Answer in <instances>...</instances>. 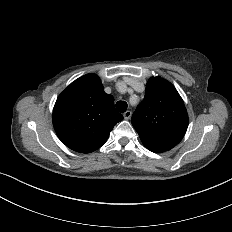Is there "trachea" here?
<instances>
[{
    "label": "trachea",
    "mask_w": 232,
    "mask_h": 232,
    "mask_svg": "<svg viewBox=\"0 0 232 232\" xmlns=\"http://www.w3.org/2000/svg\"><path fill=\"white\" fill-rule=\"evenodd\" d=\"M127 107L128 104L125 101L120 100L116 103V108L121 113L125 112L127 110Z\"/></svg>",
    "instance_id": "obj_1"
}]
</instances>
